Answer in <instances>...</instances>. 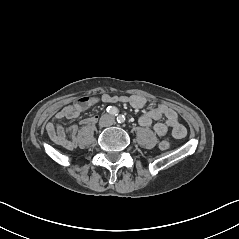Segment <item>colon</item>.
I'll list each match as a JSON object with an SVG mask.
<instances>
[{"label": "colon", "mask_w": 239, "mask_h": 239, "mask_svg": "<svg viewBox=\"0 0 239 239\" xmlns=\"http://www.w3.org/2000/svg\"><path fill=\"white\" fill-rule=\"evenodd\" d=\"M87 102H88V98H82V99L79 100L78 104H79V105H84V104H86ZM169 147H170V144H169L168 141H162V142H160V144H159V148H160L162 151L168 150Z\"/></svg>", "instance_id": "colon-1"}]
</instances>
